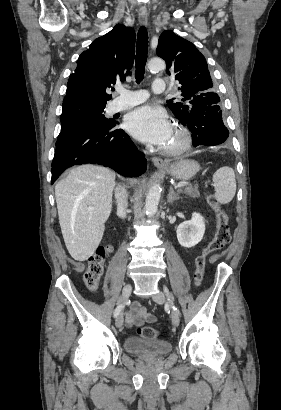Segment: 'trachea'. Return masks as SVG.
<instances>
[{"label": "trachea", "instance_id": "3493384b", "mask_svg": "<svg viewBox=\"0 0 281 410\" xmlns=\"http://www.w3.org/2000/svg\"><path fill=\"white\" fill-rule=\"evenodd\" d=\"M136 60H135V78L136 82L140 83L144 78L145 65L148 54V33L145 27H140L137 35L136 44Z\"/></svg>", "mask_w": 281, "mask_h": 410}]
</instances>
